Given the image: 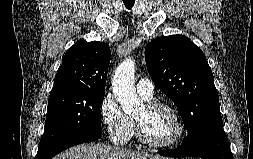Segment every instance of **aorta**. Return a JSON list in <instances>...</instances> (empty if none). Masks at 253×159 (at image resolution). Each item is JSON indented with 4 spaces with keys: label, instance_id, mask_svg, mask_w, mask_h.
Masks as SVG:
<instances>
[{
    "label": "aorta",
    "instance_id": "1",
    "mask_svg": "<svg viewBox=\"0 0 253 159\" xmlns=\"http://www.w3.org/2000/svg\"><path fill=\"white\" fill-rule=\"evenodd\" d=\"M134 75L135 61L128 58L116 68L112 80L113 94L126 114L137 112L144 106L136 94Z\"/></svg>",
    "mask_w": 253,
    "mask_h": 159
}]
</instances>
